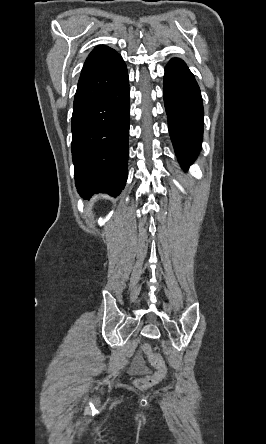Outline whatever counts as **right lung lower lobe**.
Here are the masks:
<instances>
[{
  "label": "right lung lower lobe",
  "instance_id": "98d812e1",
  "mask_svg": "<svg viewBox=\"0 0 266 444\" xmlns=\"http://www.w3.org/2000/svg\"><path fill=\"white\" fill-rule=\"evenodd\" d=\"M129 78L119 55L79 85L72 114V157L79 194L90 198L123 190L128 172Z\"/></svg>",
  "mask_w": 266,
  "mask_h": 444
}]
</instances>
